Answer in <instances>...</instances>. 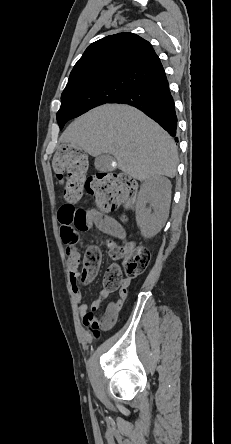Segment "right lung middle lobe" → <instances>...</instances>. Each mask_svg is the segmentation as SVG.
Returning <instances> with one entry per match:
<instances>
[{
	"instance_id": "right-lung-middle-lobe-1",
	"label": "right lung middle lobe",
	"mask_w": 231,
	"mask_h": 444,
	"mask_svg": "<svg viewBox=\"0 0 231 444\" xmlns=\"http://www.w3.org/2000/svg\"><path fill=\"white\" fill-rule=\"evenodd\" d=\"M133 86L123 83H105L82 89L63 91L61 107L57 112L60 129L64 124L88 110L105 104L114 103L123 97Z\"/></svg>"
}]
</instances>
